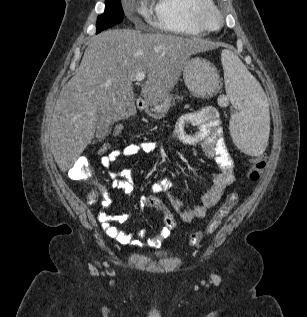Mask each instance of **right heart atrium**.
I'll return each instance as SVG.
<instances>
[{
	"mask_svg": "<svg viewBox=\"0 0 307 317\" xmlns=\"http://www.w3.org/2000/svg\"><path fill=\"white\" fill-rule=\"evenodd\" d=\"M140 11H141L143 14H146V13H147V11H146V9H145L144 7H142V8L140 9Z\"/></svg>",
	"mask_w": 307,
	"mask_h": 317,
	"instance_id": "d8ad5b80",
	"label": "right heart atrium"
}]
</instances>
